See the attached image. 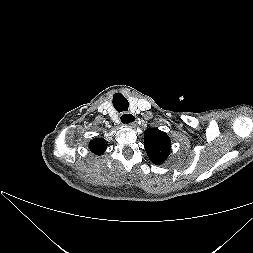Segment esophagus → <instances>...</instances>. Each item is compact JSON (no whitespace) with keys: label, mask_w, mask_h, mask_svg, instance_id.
<instances>
[{"label":"esophagus","mask_w":253,"mask_h":253,"mask_svg":"<svg viewBox=\"0 0 253 253\" xmlns=\"http://www.w3.org/2000/svg\"><path fill=\"white\" fill-rule=\"evenodd\" d=\"M121 124L125 126H134L136 124V116L131 112H124L119 117Z\"/></svg>","instance_id":"obj_1"}]
</instances>
